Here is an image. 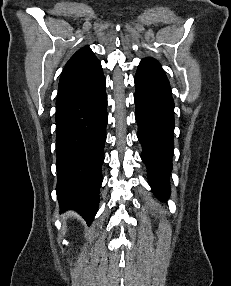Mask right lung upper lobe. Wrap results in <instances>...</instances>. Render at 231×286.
<instances>
[{
	"label": "right lung upper lobe",
	"mask_w": 231,
	"mask_h": 286,
	"mask_svg": "<svg viewBox=\"0 0 231 286\" xmlns=\"http://www.w3.org/2000/svg\"><path fill=\"white\" fill-rule=\"evenodd\" d=\"M101 69L100 61L88 47L79 49L66 63L60 82H74L92 76Z\"/></svg>",
	"instance_id": "obj_1"
}]
</instances>
